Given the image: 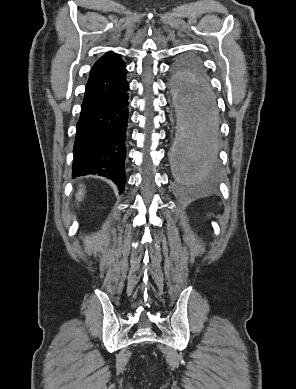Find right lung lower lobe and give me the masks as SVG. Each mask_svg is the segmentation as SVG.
<instances>
[{
  "instance_id": "1",
  "label": "right lung lower lobe",
  "mask_w": 296,
  "mask_h": 389,
  "mask_svg": "<svg viewBox=\"0 0 296 389\" xmlns=\"http://www.w3.org/2000/svg\"><path fill=\"white\" fill-rule=\"evenodd\" d=\"M126 84L117 93L84 104L77 122L72 174H98L113 180L120 192L126 183L124 161L128 122Z\"/></svg>"
}]
</instances>
